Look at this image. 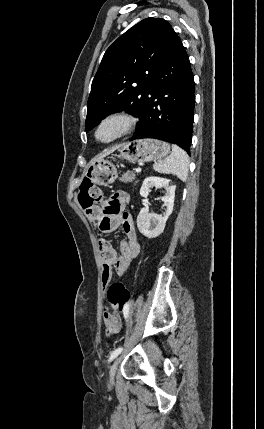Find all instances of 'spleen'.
Here are the masks:
<instances>
[{
	"label": "spleen",
	"mask_w": 264,
	"mask_h": 429,
	"mask_svg": "<svg viewBox=\"0 0 264 429\" xmlns=\"http://www.w3.org/2000/svg\"><path fill=\"white\" fill-rule=\"evenodd\" d=\"M189 158L187 153L179 146L172 144V153L161 162H156L153 169L158 173L172 174L181 181L188 176Z\"/></svg>",
	"instance_id": "obj_1"
}]
</instances>
